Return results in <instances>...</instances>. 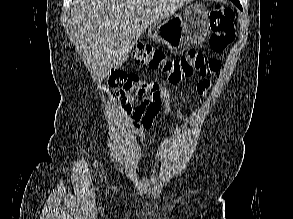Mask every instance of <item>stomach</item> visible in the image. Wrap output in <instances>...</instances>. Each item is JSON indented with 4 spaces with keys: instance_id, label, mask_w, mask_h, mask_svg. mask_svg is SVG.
Wrapping results in <instances>:
<instances>
[{
    "instance_id": "1",
    "label": "stomach",
    "mask_w": 293,
    "mask_h": 219,
    "mask_svg": "<svg viewBox=\"0 0 293 219\" xmlns=\"http://www.w3.org/2000/svg\"><path fill=\"white\" fill-rule=\"evenodd\" d=\"M209 11L201 4H191L185 9L183 18L172 14L149 27V37L172 50L186 43H202L209 30Z\"/></svg>"
}]
</instances>
